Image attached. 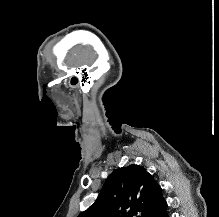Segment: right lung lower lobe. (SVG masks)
<instances>
[{
  "label": "right lung lower lobe",
  "instance_id": "obj_1",
  "mask_svg": "<svg viewBox=\"0 0 219 217\" xmlns=\"http://www.w3.org/2000/svg\"><path fill=\"white\" fill-rule=\"evenodd\" d=\"M160 217H169L168 214H167V211L165 210L161 215Z\"/></svg>",
  "mask_w": 219,
  "mask_h": 217
}]
</instances>
